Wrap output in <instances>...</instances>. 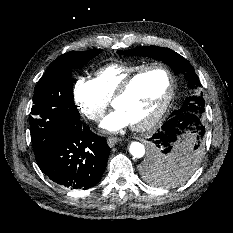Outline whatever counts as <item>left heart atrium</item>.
I'll list each match as a JSON object with an SVG mask.
<instances>
[{"label": "left heart atrium", "instance_id": "1", "mask_svg": "<svg viewBox=\"0 0 233 233\" xmlns=\"http://www.w3.org/2000/svg\"><path fill=\"white\" fill-rule=\"evenodd\" d=\"M130 125L129 120L119 110H115L101 123V128L108 132H117Z\"/></svg>", "mask_w": 233, "mask_h": 233}]
</instances>
